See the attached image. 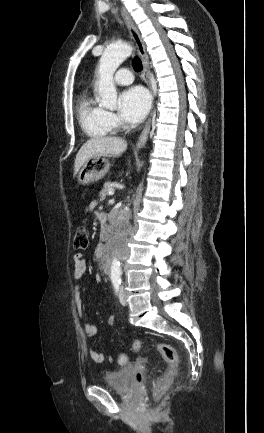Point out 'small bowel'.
<instances>
[{"label":"small bowel","instance_id":"obj_1","mask_svg":"<svg viewBox=\"0 0 264 433\" xmlns=\"http://www.w3.org/2000/svg\"><path fill=\"white\" fill-rule=\"evenodd\" d=\"M97 203L96 202H91L90 203V209L91 210H95ZM73 264H74V277L75 279H80L83 274L85 273L86 270V263H85V259L82 253H76L73 257ZM95 280L96 282L100 283L102 281V277L101 275L97 274L95 276ZM76 306H77V310L79 315H81L82 313V302H81V298L79 293H77L76 296ZM115 322V319L113 316L109 317L107 320V323L110 325H113ZM84 331L86 333L87 336L92 337L95 336L97 334L98 328L94 323H90L87 322L84 324ZM90 357L92 359L93 362L95 363H102L104 361V355L100 352H98L97 350H91L90 351ZM110 361H112V359L110 358Z\"/></svg>","mask_w":264,"mask_h":433}]
</instances>
